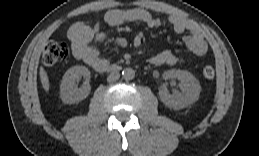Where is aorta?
<instances>
[{"label": "aorta", "instance_id": "1", "mask_svg": "<svg viewBox=\"0 0 259 156\" xmlns=\"http://www.w3.org/2000/svg\"><path fill=\"white\" fill-rule=\"evenodd\" d=\"M122 76L125 80H132L135 77V71L132 68H125L122 71Z\"/></svg>", "mask_w": 259, "mask_h": 156}]
</instances>
